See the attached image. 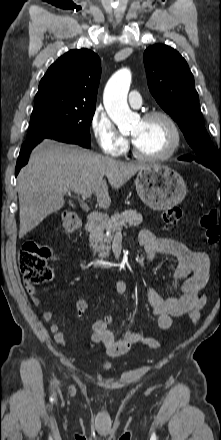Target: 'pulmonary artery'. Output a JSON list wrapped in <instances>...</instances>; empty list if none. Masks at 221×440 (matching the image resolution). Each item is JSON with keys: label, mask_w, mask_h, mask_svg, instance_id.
Masks as SVG:
<instances>
[{"label": "pulmonary artery", "mask_w": 221, "mask_h": 440, "mask_svg": "<svg viewBox=\"0 0 221 440\" xmlns=\"http://www.w3.org/2000/svg\"><path fill=\"white\" fill-rule=\"evenodd\" d=\"M128 101L129 104L134 108H138L142 105V97L136 90H133L129 93Z\"/></svg>", "instance_id": "e3ab8cb5"}]
</instances>
